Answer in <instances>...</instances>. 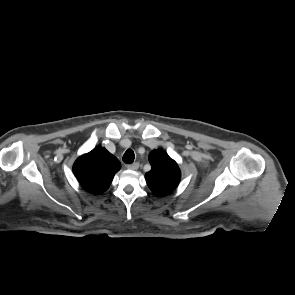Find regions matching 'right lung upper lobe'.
Returning <instances> with one entry per match:
<instances>
[{"label": "right lung upper lobe", "mask_w": 295, "mask_h": 295, "mask_svg": "<svg viewBox=\"0 0 295 295\" xmlns=\"http://www.w3.org/2000/svg\"><path fill=\"white\" fill-rule=\"evenodd\" d=\"M120 167L119 160L99 146L80 156L73 165V172L84 190L98 195L109 188Z\"/></svg>", "instance_id": "right-lung-upper-lobe-1"}]
</instances>
